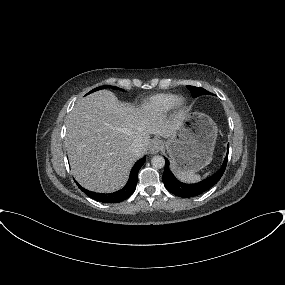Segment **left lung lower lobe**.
<instances>
[{
    "label": "left lung lower lobe",
    "instance_id": "1",
    "mask_svg": "<svg viewBox=\"0 0 285 285\" xmlns=\"http://www.w3.org/2000/svg\"><path fill=\"white\" fill-rule=\"evenodd\" d=\"M228 161V152L224 159L221 168L212 176L195 184H185L177 180L169 169V161L165 158V169L162 176V181L167 190L176 196L182 198L194 197L202 194L203 192L214 186L222 177Z\"/></svg>",
    "mask_w": 285,
    "mask_h": 285
}]
</instances>
